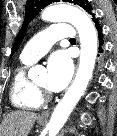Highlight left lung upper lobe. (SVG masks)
<instances>
[{"mask_svg":"<svg viewBox=\"0 0 117 136\" xmlns=\"http://www.w3.org/2000/svg\"><path fill=\"white\" fill-rule=\"evenodd\" d=\"M63 1L69 2V3H74V4L82 7L90 15L95 14L93 12V8H92L91 4L87 0H63ZM53 2H59V1H57V0H27L26 8H25L24 22H23L21 30L16 38V41L14 43L11 54H13L16 51V49L18 48V46L22 42V40L26 34V29H27L28 23L38 15V13L41 11V9H43L44 7H46L47 5H49Z\"/></svg>","mask_w":117,"mask_h":136,"instance_id":"obj_1","label":"left lung upper lobe"}]
</instances>
